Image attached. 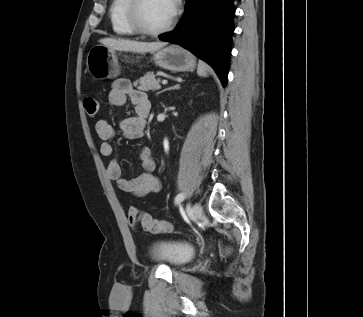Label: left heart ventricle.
<instances>
[{
  "label": "left heart ventricle",
  "mask_w": 363,
  "mask_h": 317,
  "mask_svg": "<svg viewBox=\"0 0 363 317\" xmlns=\"http://www.w3.org/2000/svg\"><path fill=\"white\" fill-rule=\"evenodd\" d=\"M172 12L173 5L169 0H143L139 18L144 27L156 30L168 22Z\"/></svg>",
  "instance_id": "1"
}]
</instances>
